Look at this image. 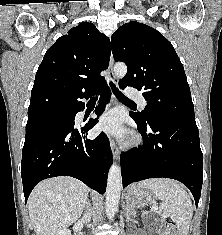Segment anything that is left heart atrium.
Returning <instances> with one entry per match:
<instances>
[{"mask_svg":"<svg viewBox=\"0 0 222 235\" xmlns=\"http://www.w3.org/2000/svg\"><path fill=\"white\" fill-rule=\"evenodd\" d=\"M99 128L107 133L118 137H125L126 131L122 125L121 114L116 110L104 113L99 120Z\"/></svg>","mask_w":222,"mask_h":235,"instance_id":"obj_1","label":"left heart atrium"}]
</instances>
